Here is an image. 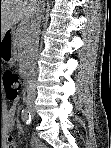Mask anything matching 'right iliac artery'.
I'll list each match as a JSON object with an SVG mask.
<instances>
[{
	"mask_svg": "<svg viewBox=\"0 0 111 148\" xmlns=\"http://www.w3.org/2000/svg\"><path fill=\"white\" fill-rule=\"evenodd\" d=\"M21 117H22V120L26 122L27 124L31 122V114L26 109L22 110Z\"/></svg>",
	"mask_w": 111,
	"mask_h": 148,
	"instance_id": "obj_1",
	"label": "right iliac artery"
}]
</instances>
